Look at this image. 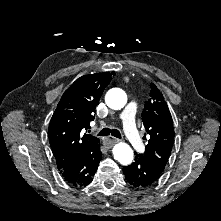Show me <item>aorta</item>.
I'll use <instances>...</instances> for the list:
<instances>
[{"instance_id":"762f6f07","label":"aorta","mask_w":221,"mask_h":221,"mask_svg":"<svg viewBox=\"0 0 221 221\" xmlns=\"http://www.w3.org/2000/svg\"><path fill=\"white\" fill-rule=\"evenodd\" d=\"M105 102L109 108L120 110L127 103V95L122 89L112 88L107 92ZM113 155L122 165H129L133 160V150L128 144L123 142L117 143L114 146Z\"/></svg>"}]
</instances>
